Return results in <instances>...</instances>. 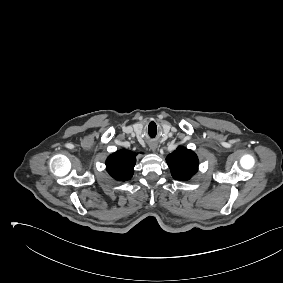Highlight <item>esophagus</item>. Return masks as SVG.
<instances>
[{"instance_id":"esophagus-1","label":"esophagus","mask_w":283,"mask_h":283,"mask_svg":"<svg viewBox=\"0 0 283 283\" xmlns=\"http://www.w3.org/2000/svg\"><path fill=\"white\" fill-rule=\"evenodd\" d=\"M150 148H151L152 151H156L157 146L156 145H151Z\"/></svg>"}]
</instances>
